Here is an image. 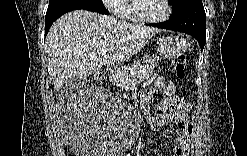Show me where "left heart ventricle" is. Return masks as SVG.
I'll return each mask as SVG.
<instances>
[{
	"label": "left heart ventricle",
	"mask_w": 247,
	"mask_h": 156,
	"mask_svg": "<svg viewBox=\"0 0 247 156\" xmlns=\"http://www.w3.org/2000/svg\"><path fill=\"white\" fill-rule=\"evenodd\" d=\"M136 10L142 16L156 17L164 13L165 7L160 0L137 1Z\"/></svg>",
	"instance_id": "b2bd125f"
}]
</instances>
